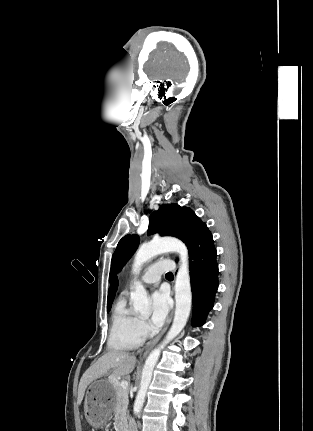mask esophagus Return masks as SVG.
I'll return each mask as SVG.
<instances>
[{"instance_id": "esophagus-1", "label": "esophagus", "mask_w": 313, "mask_h": 431, "mask_svg": "<svg viewBox=\"0 0 313 431\" xmlns=\"http://www.w3.org/2000/svg\"><path fill=\"white\" fill-rule=\"evenodd\" d=\"M174 311L171 312L170 316L168 317L166 324L162 331L150 342H148L143 349L140 350V358L145 357L148 352L157 344V342L160 340V338L163 336L165 331L167 330L169 324L172 321Z\"/></svg>"}]
</instances>
